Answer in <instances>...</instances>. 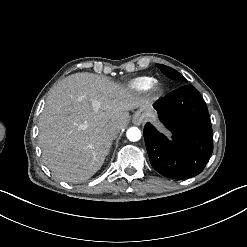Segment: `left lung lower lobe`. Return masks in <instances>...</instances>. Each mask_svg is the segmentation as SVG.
Returning <instances> with one entry per match:
<instances>
[{
	"label": "left lung lower lobe",
	"instance_id": "0a47b994",
	"mask_svg": "<svg viewBox=\"0 0 247 247\" xmlns=\"http://www.w3.org/2000/svg\"><path fill=\"white\" fill-rule=\"evenodd\" d=\"M172 140L147 123L144 139L153 168L161 175L187 179L201 173L213 151V132L205 101L192 85H184L154 103Z\"/></svg>",
	"mask_w": 247,
	"mask_h": 247
}]
</instances>
